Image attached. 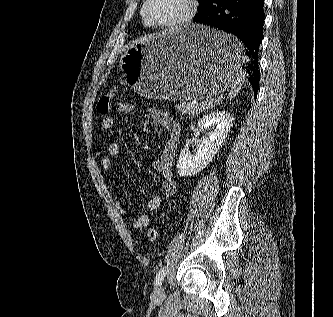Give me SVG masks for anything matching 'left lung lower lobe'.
Here are the masks:
<instances>
[{"label": "left lung lower lobe", "mask_w": 333, "mask_h": 317, "mask_svg": "<svg viewBox=\"0 0 333 317\" xmlns=\"http://www.w3.org/2000/svg\"><path fill=\"white\" fill-rule=\"evenodd\" d=\"M264 0H211L193 19L194 23L210 26L238 37L246 46L249 61L243 68L248 73L255 97L259 87L258 52L263 39ZM229 44L215 50L222 57L236 59Z\"/></svg>", "instance_id": "1"}]
</instances>
